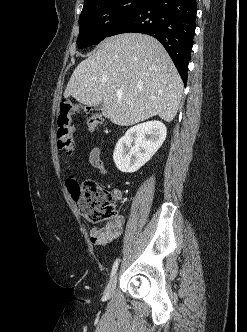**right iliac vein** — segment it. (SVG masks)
<instances>
[{
    "label": "right iliac vein",
    "instance_id": "63e3f726",
    "mask_svg": "<svg viewBox=\"0 0 247 332\" xmlns=\"http://www.w3.org/2000/svg\"><path fill=\"white\" fill-rule=\"evenodd\" d=\"M116 284H117V275H114V277L109 281L106 287L105 293L107 296H111L114 293Z\"/></svg>",
    "mask_w": 247,
    "mask_h": 332
}]
</instances>
